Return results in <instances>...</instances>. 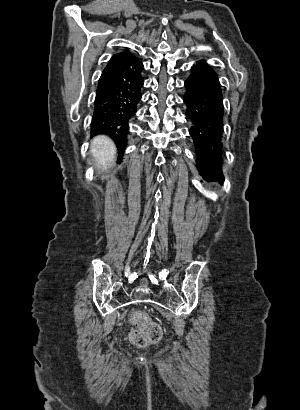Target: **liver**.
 <instances>
[{
    "label": "liver",
    "mask_w": 300,
    "mask_h": 410,
    "mask_svg": "<svg viewBox=\"0 0 300 410\" xmlns=\"http://www.w3.org/2000/svg\"><path fill=\"white\" fill-rule=\"evenodd\" d=\"M90 152L98 169H108L116 159V147L112 140L104 135L92 140Z\"/></svg>",
    "instance_id": "1"
}]
</instances>
